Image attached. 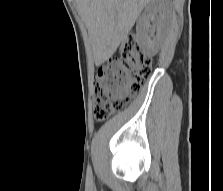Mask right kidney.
<instances>
[{"mask_svg":"<svg viewBox=\"0 0 223 191\" xmlns=\"http://www.w3.org/2000/svg\"><path fill=\"white\" fill-rule=\"evenodd\" d=\"M168 7V0H153L138 19L136 25L138 44L149 55L158 52L166 25Z\"/></svg>","mask_w":223,"mask_h":191,"instance_id":"obj_1","label":"right kidney"}]
</instances>
